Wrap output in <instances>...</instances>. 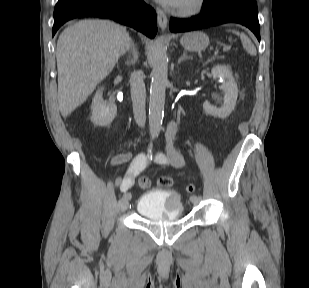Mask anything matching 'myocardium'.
Here are the masks:
<instances>
[{
    "label": "myocardium",
    "instance_id": "myocardium-1",
    "mask_svg": "<svg viewBox=\"0 0 309 288\" xmlns=\"http://www.w3.org/2000/svg\"><path fill=\"white\" fill-rule=\"evenodd\" d=\"M205 0H192L189 4L175 9L180 16H194L199 14L205 7Z\"/></svg>",
    "mask_w": 309,
    "mask_h": 288
}]
</instances>
